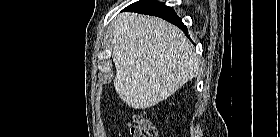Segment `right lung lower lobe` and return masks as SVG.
<instances>
[{"label":"right lung lower lobe","mask_w":280,"mask_h":137,"mask_svg":"<svg viewBox=\"0 0 280 137\" xmlns=\"http://www.w3.org/2000/svg\"><path fill=\"white\" fill-rule=\"evenodd\" d=\"M124 11L158 16L178 26L186 34L188 33L186 26L182 23L181 18L176 15L172 7H168L164 3L156 2L155 0H140L126 7Z\"/></svg>","instance_id":"right-lung-lower-lobe-1"}]
</instances>
